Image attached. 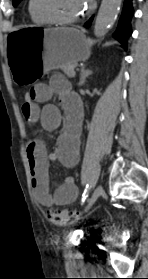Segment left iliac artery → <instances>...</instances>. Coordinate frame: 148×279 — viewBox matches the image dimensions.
Segmentation results:
<instances>
[{"label":"left iliac artery","mask_w":148,"mask_h":279,"mask_svg":"<svg viewBox=\"0 0 148 279\" xmlns=\"http://www.w3.org/2000/svg\"><path fill=\"white\" fill-rule=\"evenodd\" d=\"M89 190H90V186L87 184L86 188L83 192V195H82V202H84L87 199L88 194H89Z\"/></svg>","instance_id":"1"}]
</instances>
